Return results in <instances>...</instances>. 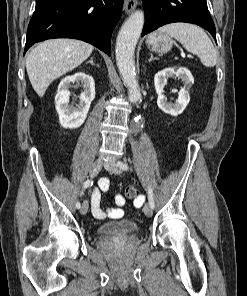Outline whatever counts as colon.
<instances>
[{"label": "colon", "instance_id": "5ec220e1", "mask_svg": "<svg viewBox=\"0 0 247 296\" xmlns=\"http://www.w3.org/2000/svg\"><path fill=\"white\" fill-rule=\"evenodd\" d=\"M137 195V188L135 186H129L126 188L124 193V199H134Z\"/></svg>", "mask_w": 247, "mask_h": 296}]
</instances>
